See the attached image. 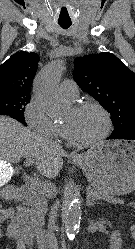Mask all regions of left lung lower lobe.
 Returning <instances> with one entry per match:
<instances>
[{"instance_id": "0a47b994", "label": "left lung lower lobe", "mask_w": 135, "mask_h": 249, "mask_svg": "<svg viewBox=\"0 0 135 249\" xmlns=\"http://www.w3.org/2000/svg\"><path fill=\"white\" fill-rule=\"evenodd\" d=\"M108 139H131L135 140V124L131 126L129 130L122 133L113 132L111 136L108 137Z\"/></svg>"}]
</instances>
